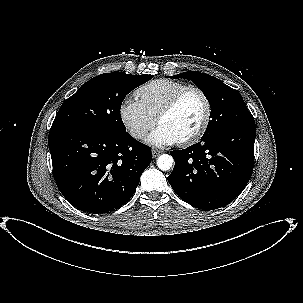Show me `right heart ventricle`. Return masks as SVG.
Listing matches in <instances>:
<instances>
[{
	"label": "right heart ventricle",
	"instance_id": "e07e8e85",
	"mask_svg": "<svg viewBox=\"0 0 303 303\" xmlns=\"http://www.w3.org/2000/svg\"><path fill=\"white\" fill-rule=\"evenodd\" d=\"M187 87L189 86L186 83L178 80L157 79L138 88L136 96L146 110L156 118L161 109Z\"/></svg>",
	"mask_w": 303,
	"mask_h": 303
}]
</instances>
